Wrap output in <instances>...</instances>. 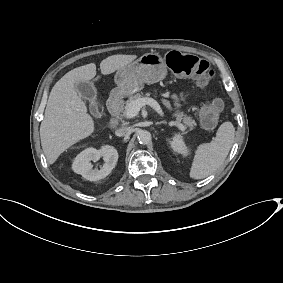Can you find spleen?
<instances>
[{"label": "spleen", "instance_id": "1", "mask_svg": "<svg viewBox=\"0 0 283 283\" xmlns=\"http://www.w3.org/2000/svg\"><path fill=\"white\" fill-rule=\"evenodd\" d=\"M235 138V128L231 122H224L210 143L198 146L195 151L190 177L203 179L213 174L225 161Z\"/></svg>", "mask_w": 283, "mask_h": 283}]
</instances>
